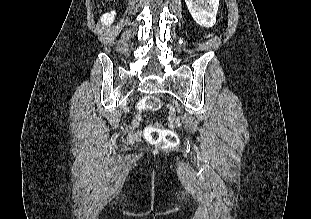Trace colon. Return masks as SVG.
Here are the masks:
<instances>
[{
	"label": "colon",
	"instance_id": "5ec220e1",
	"mask_svg": "<svg viewBox=\"0 0 311 219\" xmlns=\"http://www.w3.org/2000/svg\"><path fill=\"white\" fill-rule=\"evenodd\" d=\"M138 107L142 111H157L161 108V102L157 97L149 95L139 103ZM144 136L150 143L165 147H172L178 142L177 134L173 130L155 125L147 126L144 131Z\"/></svg>",
	"mask_w": 311,
	"mask_h": 219
}]
</instances>
